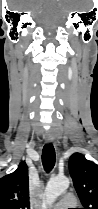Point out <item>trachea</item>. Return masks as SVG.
<instances>
[{
  "mask_svg": "<svg viewBox=\"0 0 98 209\" xmlns=\"http://www.w3.org/2000/svg\"><path fill=\"white\" fill-rule=\"evenodd\" d=\"M55 149L52 143L45 144L42 150V163L46 172H50L55 165Z\"/></svg>",
  "mask_w": 98,
  "mask_h": 209,
  "instance_id": "3493384b",
  "label": "trachea"
}]
</instances>
